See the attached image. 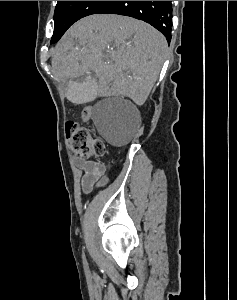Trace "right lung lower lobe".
<instances>
[{"label":"right lung lower lobe","mask_w":237,"mask_h":300,"mask_svg":"<svg viewBox=\"0 0 237 300\" xmlns=\"http://www.w3.org/2000/svg\"><path fill=\"white\" fill-rule=\"evenodd\" d=\"M119 14L143 20L163 33L168 43L172 31L171 1H107L95 14Z\"/></svg>","instance_id":"1"}]
</instances>
